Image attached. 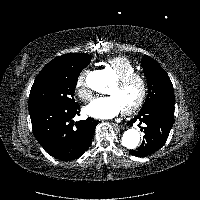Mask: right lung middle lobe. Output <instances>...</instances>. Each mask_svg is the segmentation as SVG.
Returning <instances> with one entry per match:
<instances>
[{"mask_svg": "<svg viewBox=\"0 0 200 200\" xmlns=\"http://www.w3.org/2000/svg\"><path fill=\"white\" fill-rule=\"evenodd\" d=\"M90 63V56L78 53L67 63L42 70L33 83L29 96V110L51 106H73V98L80 72Z\"/></svg>", "mask_w": 200, "mask_h": 200, "instance_id": "1", "label": "right lung middle lobe"}]
</instances>
